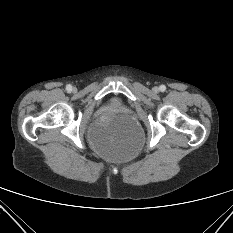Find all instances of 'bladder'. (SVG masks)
<instances>
[{"label":"bladder","instance_id":"31cf9c89","mask_svg":"<svg viewBox=\"0 0 233 233\" xmlns=\"http://www.w3.org/2000/svg\"><path fill=\"white\" fill-rule=\"evenodd\" d=\"M91 141L96 151L106 158L127 159L137 151L136 144L99 131L92 134Z\"/></svg>","mask_w":233,"mask_h":233}]
</instances>
